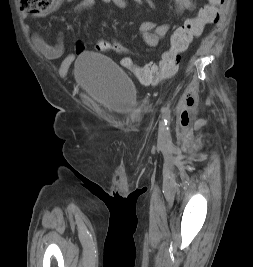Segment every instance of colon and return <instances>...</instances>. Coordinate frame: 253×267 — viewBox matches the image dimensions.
Returning <instances> with one entry per match:
<instances>
[{
    "label": "colon",
    "mask_w": 253,
    "mask_h": 267,
    "mask_svg": "<svg viewBox=\"0 0 253 267\" xmlns=\"http://www.w3.org/2000/svg\"><path fill=\"white\" fill-rule=\"evenodd\" d=\"M55 0H19L21 10L28 12H43L49 9ZM225 0H208L195 17L187 19L182 26L177 28L171 38V47L164 53L159 64H148L137 67L134 61L126 56L121 60L123 67L132 70L138 79L145 84L157 83L170 78L178 70L180 54L187 50L194 38L200 36L206 25L216 23L219 19L220 7ZM99 52L112 51L121 55L133 52L114 39H99L95 43Z\"/></svg>",
    "instance_id": "1"
}]
</instances>
